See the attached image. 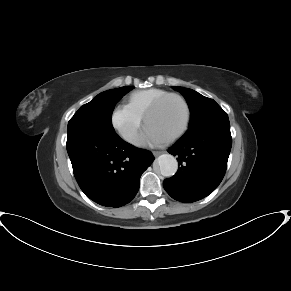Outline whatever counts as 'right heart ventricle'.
Here are the masks:
<instances>
[{
	"mask_svg": "<svg viewBox=\"0 0 291 291\" xmlns=\"http://www.w3.org/2000/svg\"><path fill=\"white\" fill-rule=\"evenodd\" d=\"M168 92L158 88H148L132 92L128 96V105L140 116H144L146 110L159 97Z\"/></svg>",
	"mask_w": 291,
	"mask_h": 291,
	"instance_id": "1",
	"label": "right heart ventricle"
}]
</instances>
